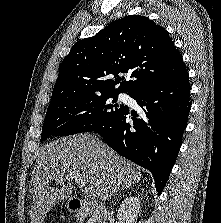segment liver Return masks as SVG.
I'll use <instances>...</instances> for the list:
<instances>
[{
	"instance_id": "6515ba94",
	"label": "liver",
	"mask_w": 221,
	"mask_h": 223,
	"mask_svg": "<svg viewBox=\"0 0 221 223\" xmlns=\"http://www.w3.org/2000/svg\"><path fill=\"white\" fill-rule=\"evenodd\" d=\"M71 176L92 187L97 201L108 200L142 178L134 164L115 153L96 135L77 134L47 144L40 149L32 171L31 223H42L55 204L72 195L75 187L69 179ZM52 180L61 187H49ZM66 181L69 183L64 184Z\"/></svg>"
}]
</instances>
